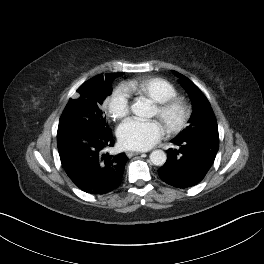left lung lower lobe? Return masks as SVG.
Returning a JSON list of instances; mask_svg holds the SVG:
<instances>
[{
    "mask_svg": "<svg viewBox=\"0 0 264 264\" xmlns=\"http://www.w3.org/2000/svg\"><path fill=\"white\" fill-rule=\"evenodd\" d=\"M178 149H169L167 161L158 170L160 178L177 188L192 187L203 180L219 149V136L193 135L173 139Z\"/></svg>",
    "mask_w": 264,
    "mask_h": 264,
    "instance_id": "obj_1",
    "label": "left lung lower lobe"
}]
</instances>
